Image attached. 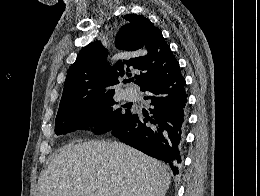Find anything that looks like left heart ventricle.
I'll return each instance as SVG.
<instances>
[{"label":"left heart ventricle","instance_id":"obj_1","mask_svg":"<svg viewBox=\"0 0 260 196\" xmlns=\"http://www.w3.org/2000/svg\"><path fill=\"white\" fill-rule=\"evenodd\" d=\"M54 192H66V190H53ZM104 192H108L107 190H104Z\"/></svg>","mask_w":260,"mask_h":196}]
</instances>
